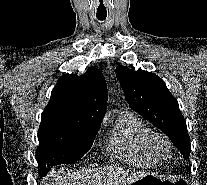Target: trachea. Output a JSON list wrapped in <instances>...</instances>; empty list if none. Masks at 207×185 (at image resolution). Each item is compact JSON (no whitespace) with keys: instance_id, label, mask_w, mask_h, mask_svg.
<instances>
[{"instance_id":"1","label":"trachea","mask_w":207,"mask_h":185,"mask_svg":"<svg viewBox=\"0 0 207 185\" xmlns=\"http://www.w3.org/2000/svg\"><path fill=\"white\" fill-rule=\"evenodd\" d=\"M98 20H105L106 17H97Z\"/></svg>"}]
</instances>
